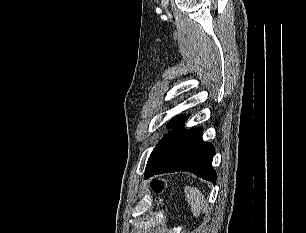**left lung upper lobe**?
<instances>
[{
  "instance_id": "1",
  "label": "left lung upper lobe",
  "mask_w": 306,
  "mask_h": 233,
  "mask_svg": "<svg viewBox=\"0 0 306 233\" xmlns=\"http://www.w3.org/2000/svg\"><path fill=\"white\" fill-rule=\"evenodd\" d=\"M183 118V116H178L175 119H173L169 124L168 127H173L177 122H179L181 119Z\"/></svg>"
}]
</instances>
